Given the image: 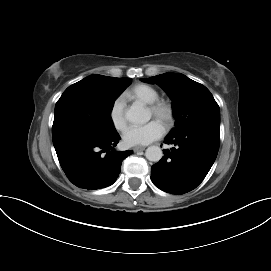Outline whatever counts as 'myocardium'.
Listing matches in <instances>:
<instances>
[{"label":"myocardium","mask_w":271,"mask_h":271,"mask_svg":"<svg viewBox=\"0 0 271 271\" xmlns=\"http://www.w3.org/2000/svg\"><path fill=\"white\" fill-rule=\"evenodd\" d=\"M149 110L153 117L161 121L166 126H170L174 121L173 106L165 100H156L149 105Z\"/></svg>","instance_id":"f54148a6"}]
</instances>
